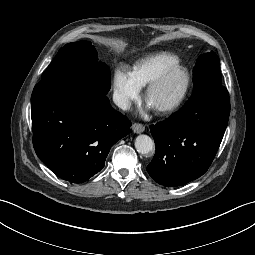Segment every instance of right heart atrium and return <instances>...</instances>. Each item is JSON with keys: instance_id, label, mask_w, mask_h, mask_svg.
I'll use <instances>...</instances> for the list:
<instances>
[{"instance_id": "obj_1", "label": "right heart atrium", "mask_w": 255, "mask_h": 255, "mask_svg": "<svg viewBox=\"0 0 255 255\" xmlns=\"http://www.w3.org/2000/svg\"><path fill=\"white\" fill-rule=\"evenodd\" d=\"M113 86L115 100L123 109L128 108L140 95L141 86L134 73L123 65L115 70Z\"/></svg>"}]
</instances>
